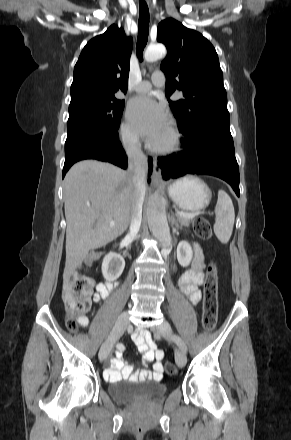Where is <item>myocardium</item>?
<instances>
[{"label": "myocardium", "mask_w": 291, "mask_h": 440, "mask_svg": "<svg viewBox=\"0 0 291 440\" xmlns=\"http://www.w3.org/2000/svg\"><path fill=\"white\" fill-rule=\"evenodd\" d=\"M169 129V139L162 144L151 143L149 148L159 154H171L179 150L181 146V134L175 125L171 124Z\"/></svg>", "instance_id": "obj_1"}]
</instances>
